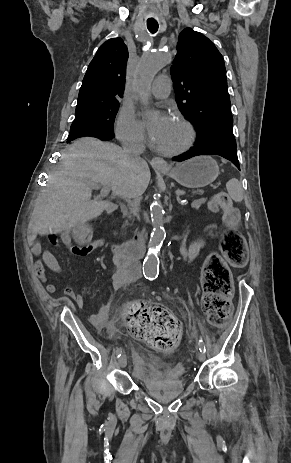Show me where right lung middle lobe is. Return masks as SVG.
<instances>
[{
  "instance_id": "obj_1",
  "label": "right lung middle lobe",
  "mask_w": 291,
  "mask_h": 463,
  "mask_svg": "<svg viewBox=\"0 0 291 463\" xmlns=\"http://www.w3.org/2000/svg\"><path fill=\"white\" fill-rule=\"evenodd\" d=\"M119 108V102H114L92 112L76 116L67 142L80 137H114L113 123Z\"/></svg>"
}]
</instances>
